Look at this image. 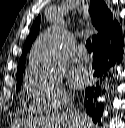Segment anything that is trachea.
<instances>
[{"label":"trachea","instance_id":"3493384b","mask_svg":"<svg viewBox=\"0 0 125 128\" xmlns=\"http://www.w3.org/2000/svg\"><path fill=\"white\" fill-rule=\"evenodd\" d=\"M86 48H87V50H88L89 52L92 51V46H91V41H90V39H87V41H86Z\"/></svg>","mask_w":125,"mask_h":128}]
</instances>
